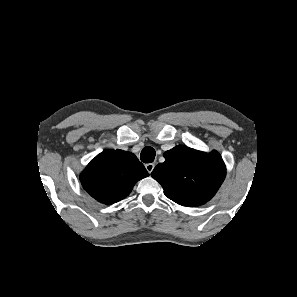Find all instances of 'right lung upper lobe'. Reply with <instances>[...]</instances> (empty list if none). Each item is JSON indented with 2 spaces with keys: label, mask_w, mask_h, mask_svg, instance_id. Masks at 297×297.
Masks as SVG:
<instances>
[{
  "label": "right lung upper lobe",
  "mask_w": 297,
  "mask_h": 297,
  "mask_svg": "<svg viewBox=\"0 0 297 297\" xmlns=\"http://www.w3.org/2000/svg\"><path fill=\"white\" fill-rule=\"evenodd\" d=\"M149 174L131 152L105 150L81 173L84 189L97 201L113 204L124 199L135 183Z\"/></svg>",
  "instance_id": "obj_1"
}]
</instances>
